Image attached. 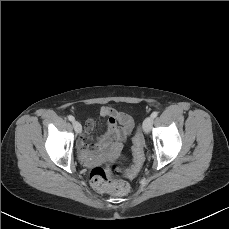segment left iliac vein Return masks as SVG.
I'll use <instances>...</instances> for the list:
<instances>
[{
    "instance_id": "1",
    "label": "left iliac vein",
    "mask_w": 229,
    "mask_h": 229,
    "mask_svg": "<svg viewBox=\"0 0 229 229\" xmlns=\"http://www.w3.org/2000/svg\"><path fill=\"white\" fill-rule=\"evenodd\" d=\"M152 124H153V117H151V116L147 117L143 122V131L145 133L150 132V130L152 128Z\"/></svg>"
}]
</instances>
